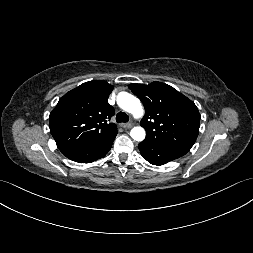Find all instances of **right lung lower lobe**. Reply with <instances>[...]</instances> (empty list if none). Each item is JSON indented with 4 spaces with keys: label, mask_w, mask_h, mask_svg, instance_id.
<instances>
[{
    "label": "right lung lower lobe",
    "mask_w": 253,
    "mask_h": 253,
    "mask_svg": "<svg viewBox=\"0 0 253 253\" xmlns=\"http://www.w3.org/2000/svg\"><path fill=\"white\" fill-rule=\"evenodd\" d=\"M115 137L116 134L100 142L76 150L66 157L79 163H91L100 158H104L110 150Z\"/></svg>",
    "instance_id": "1"
}]
</instances>
